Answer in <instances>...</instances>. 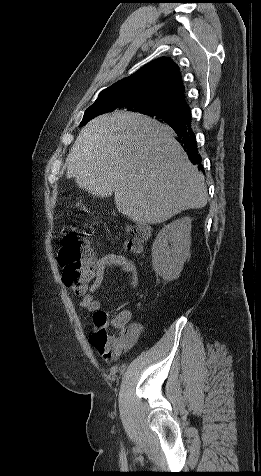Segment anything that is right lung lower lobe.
Wrapping results in <instances>:
<instances>
[{"instance_id":"right-lung-lower-lobe-1","label":"right lung lower lobe","mask_w":261,"mask_h":476,"mask_svg":"<svg viewBox=\"0 0 261 476\" xmlns=\"http://www.w3.org/2000/svg\"><path fill=\"white\" fill-rule=\"evenodd\" d=\"M168 125H170L174 129L175 133L177 134L179 138L178 141L182 144L191 162L193 164H197L199 169H201L204 172L203 167L201 165V157L198 154V150L196 146L197 144L195 140V135L193 134L191 130L190 111L185 112L184 117L180 121L170 123Z\"/></svg>"}]
</instances>
